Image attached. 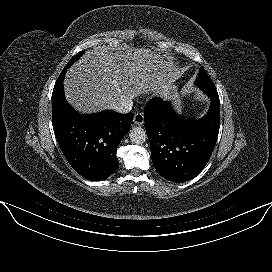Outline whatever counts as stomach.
<instances>
[{
    "instance_id": "obj_1",
    "label": "stomach",
    "mask_w": 272,
    "mask_h": 272,
    "mask_svg": "<svg viewBox=\"0 0 272 272\" xmlns=\"http://www.w3.org/2000/svg\"><path fill=\"white\" fill-rule=\"evenodd\" d=\"M167 96L169 97V98H178V93H177V89H176V87L175 86H170L169 88H168V91H167ZM180 108H181V103L179 102V101H177L176 102V109H178V110H180Z\"/></svg>"
}]
</instances>
